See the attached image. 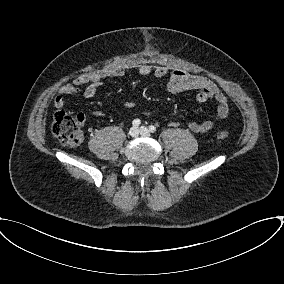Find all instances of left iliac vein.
Masks as SVG:
<instances>
[{"label":"left iliac vein","mask_w":284,"mask_h":284,"mask_svg":"<svg viewBox=\"0 0 284 284\" xmlns=\"http://www.w3.org/2000/svg\"><path fill=\"white\" fill-rule=\"evenodd\" d=\"M139 132H140V134L141 135H143V136H150V131L147 129V127H145V126H141L140 128H139Z\"/></svg>","instance_id":"4c4485c4"}]
</instances>
